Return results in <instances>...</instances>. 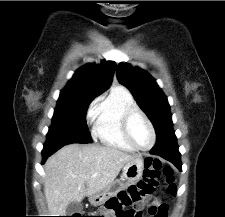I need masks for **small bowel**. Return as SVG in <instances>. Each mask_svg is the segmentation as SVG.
<instances>
[{
    "label": "small bowel",
    "mask_w": 225,
    "mask_h": 217,
    "mask_svg": "<svg viewBox=\"0 0 225 217\" xmlns=\"http://www.w3.org/2000/svg\"><path fill=\"white\" fill-rule=\"evenodd\" d=\"M148 203H149L150 207H151V206H153V207H158V206L161 205V204L159 203V201L156 200V199H154V198L149 199V200H148ZM142 206H143V204H142L141 202H139V203H136L134 207H135L138 211H140V209L142 208Z\"/></svg>",
    "instance_id": "small-bowel-1"
}]
</instances>
